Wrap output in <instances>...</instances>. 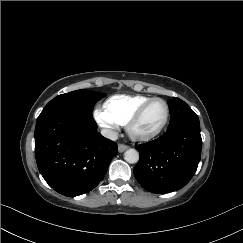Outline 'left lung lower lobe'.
Wrapping results in <instances>:
<instances>
[{
	"label": "left lung lower lobe",
	"mask_w": 243,
	"mask_h": 243,
	"mask_svg": "<svg viewBox=\"0 0 243 243\" xmlns=\"http://www.w3.org/2000/svg\"><path fill=\"white\" fill-rule=\"evenodd\" d=\"M198 116L180 117L158 139L137 145L140 159L134 175L152 193H168L184 187L193 177L201 156Z\"/></svg>",
	"instance_id": "1"
}]
</instances>
